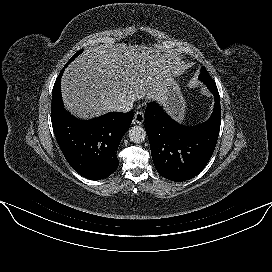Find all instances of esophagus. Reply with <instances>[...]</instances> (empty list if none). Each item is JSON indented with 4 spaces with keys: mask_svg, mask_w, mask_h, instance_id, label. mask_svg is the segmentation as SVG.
<instances>
[{
    "mask_svg": "<svg viewBox=\"0 0 272 272\" xmlns=\"http://www.w3.org/2000/svg\"><path fill=\"white\" fill-rule=\"evenodd\" d=\"M144 121V113L142 111H137L134 115V123L142 124Z\"/></svg>",
    "mask_w": 272,
    "mask_h": 272,
    "instance_id": "1",
    "label": "esophagus"
}]
</instances>
